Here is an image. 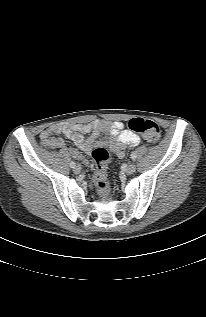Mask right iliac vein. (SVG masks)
<instances>
[{
  "instance_id": "63e3f726",
  "label": "right iliac vein",
  "mask_w": 206,
  "mask_h": 317,
  "mask_svg": "<svg viewBox=\"0 0 206 317\" xmlns=\"http://www.w3.org/2000/svg\"><path fill=\"white\" fill-rule=\"evenodd\" d=\"M74 172H75L76 174H79V173L81 172V167H80V166H75V167H74Z\"/></svg>"
}]
</instances>
